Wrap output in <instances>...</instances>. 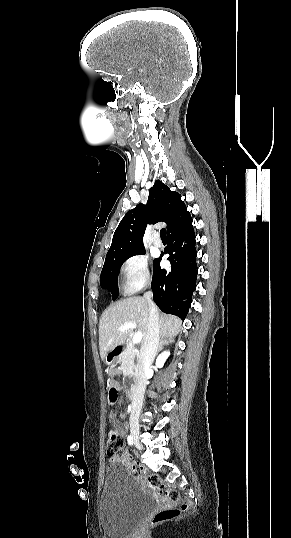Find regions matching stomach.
Returning <instances> with one entry per match:
<instances>
[{
    "label": "stomach",
    "instance_id": "1",
    "mask_svg": "<svg viewBox=\"0 0 291 538\" xmlns=\"http://www.w3.org/2000/svg\"><path fill=\"white\" fill-rule=\"evenodd\" d=\"M118 355L116 353H114V349L107 352L105 358H104V362L107 364V365H111V364H114L118 361Z\"/></svg>",
    "mask_w": 291,
    "mask_h": 538
}]
</instances>
